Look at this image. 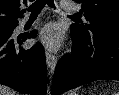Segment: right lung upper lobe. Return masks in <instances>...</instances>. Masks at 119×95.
<instances>
[{"mask_svg":"<svg viewBox=\"0 0 119 95\" xmlns=\"http://www.w3.org/2000/svg\"><path fill=\"white\" fill-rule=\"evenodd\" d=\"M25 1V0H24ZM21 0H0V27L17 26L23 15L20 11Z\"/></svg>","mask_w":119,"mask_h":95,"instance_id":"cb5924a9","label":"right lung upper lobe"}]
</instances>
